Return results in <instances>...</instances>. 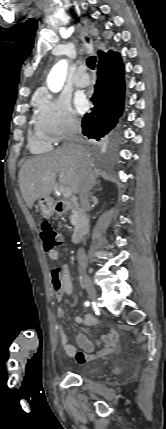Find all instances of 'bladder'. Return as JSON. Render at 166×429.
<instances>
[{
  "instance_id": "bladder-1",
  "label": "bladder",
  "mask_w": 166,
  "mask_h": 429,
  "mask_svg": "<svg viewBox=\"0 0 166 429\" xmlns=\"http://www.w3.org/2000/svg\"><path fill=\"white\" fill-rule=\"evenodd\" d=\"M101 371L100 367L85 368L81 375H95Z\"/></svg>"
}]
</instances>
